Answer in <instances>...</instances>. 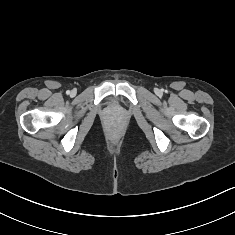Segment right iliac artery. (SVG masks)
<instances>
[{"mask_svg":"<svg viewBox=\"0 0 235 235\" xmlns=\"http://www.w3.org/2000/svg\"><path fill=\"white\" fill-rule=\"evenodd\" d=\"M66 94H70V91L68 90V91H66Z\"/></svg>","mask_w":235,"mask_h":235,"instance_id":"right-iliac-artery-1","label":"right iliac artery"}]
</instances>
